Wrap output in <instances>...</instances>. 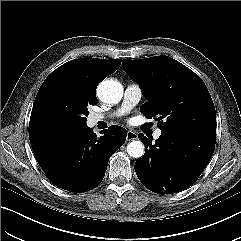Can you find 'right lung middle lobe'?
Segmentation results:
<instances>
[{
  "instance_id": "1",
  "label": "right lung middle lobe",
  "mask_w": 241,
  "mask_h": 241,
  "mask_svg": "<svg viewBox=\"0 0 241 241\" xmlns=\"http://www.w3.org/2000/svg\"><path fill=\"white\" fill-rule=\"evenodd\" d=\"M88 102L70 89L55 85L37 94L33 105L29 138L52 135L86 126ZM94 105V104H91Z\"/></svg>"
}]
</instances>
